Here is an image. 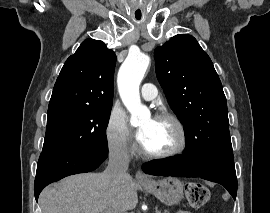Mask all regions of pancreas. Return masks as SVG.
Masks as SVG:
<instances>
[{"label": "pancreas", "mask_w": 270, "mask_h": 213, "mask_svg": "<svg viewBox=\"0 0 270 213\" xmlns=\"http://www.w3.org/2000/svg\"><path fill=\"white\" fill-rule=\"evenodd\" d=\"M156 213H169L167 211L161 212L160 210H157Z\"/></svg>", "instance_id": "cf45deb5"}]
</instances>
